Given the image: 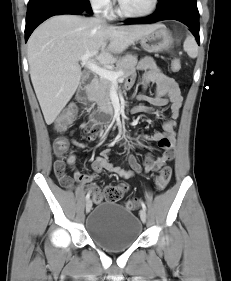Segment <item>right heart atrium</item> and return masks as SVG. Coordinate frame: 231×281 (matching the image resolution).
<instances>
[{"label": "right heart atrium", "instance_id": "right-heart-atrium-1", "mask_svg": "<svg viewBox=\"0 0 231 281\" xmlns=\"http://www.w3.org/2000/svg\"><path fill=\"white\" fill-rule=\"evenodd\" d=\"M91 5L97 10L108 13L113 6V0H89Z\"/></svg>", "mask_w": 231, "mask_h": 281}]
</instances>
